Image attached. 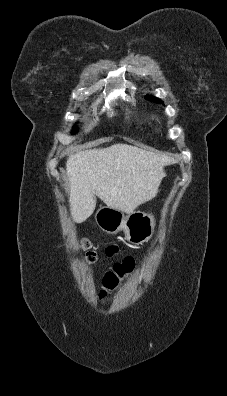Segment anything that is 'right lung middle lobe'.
<instances>
[{
    "label": "right lung middle lobe",
    "mask_w": 227,
    "mask_h": 396,
    "mask_svg": "<svg viewBox=\"0 0 227 396\" xmlns=\"http://www.w3.org/2000/svg\"><path fill=\"white\" fill-rule=\"evenodd\" d=\"M76 131H77V129H76V126H75V129L72 131V134L76 133Z\"/></svg>",
    "instance_id": "dd1d6c3e"
}]
</instances>
